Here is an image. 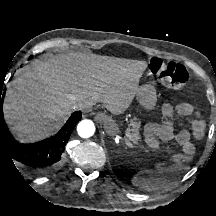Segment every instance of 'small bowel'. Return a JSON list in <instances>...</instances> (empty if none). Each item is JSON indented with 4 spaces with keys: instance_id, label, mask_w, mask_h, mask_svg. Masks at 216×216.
<instances>
[{
    "instance_id": "c3829d8e",
    "label": "small bowel",
    "mask_w": 216,
    "mask_h": 216,
    "mask_svg": "<svg viewBox=\"0 0 216 216\" xmlns=\"http://www.w3.org/2000/svg\"><path fill=\"white\" fill-rule=\"evenodd\" d=\"M193 106L189 103H182L178 105L177 112L184 116H190L193 113ZM174 128V111L172 108H166L164 111V121L159 126V138L161 140H168L173 137L177 140L181 146L183 152L187 155H191L194 152V145L191 142V134L193 137L199 139L204 134V122L199 119L191 121V133L187 130H182L176 135L173 133Z\"/></svg>"
}]
</instances>
